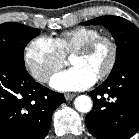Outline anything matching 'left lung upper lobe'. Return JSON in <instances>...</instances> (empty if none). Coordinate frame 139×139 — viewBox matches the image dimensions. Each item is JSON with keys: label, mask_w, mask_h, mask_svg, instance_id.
<instances>
[{"label": "left lung upper lobe", "mask_w": 139, "mask_h": 139, "mask_svg": "<svg viewBox=\"0 0 139 139\" xmlns=\"http://www.w3.org/2000/svg\"><path fill=\"white\" fill-rule=\"evenodd\" d=\"M82 25H102L115 39L117 54L110 74L134 56H139V29L130 21L119 16H101L81 23Z\"/></svg>", "instance_id": "left-lung-upper-lobe-1"}]
</instances>
